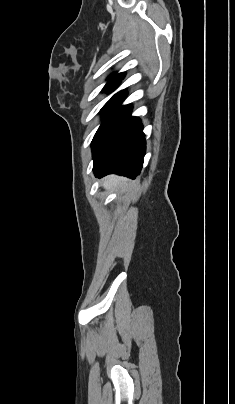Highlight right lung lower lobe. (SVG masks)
Instances as JSON below:
<instances>
[{"mask_svg":"<svg viewBox=\"0 0 235 404\" xmlns=\"http://www.w3.org/2000/svg\"><path fill=\"white\" fill-rule=\"evenodd\" d=\"M122 99L107 113L92 141L93 170L96 177L115 173L130 178L139 175L146 143L139 118L132 117V106H120Z\"/></svg>","mask_w":235,"mask_h":404,"instance_id":"obj_1","label":"right lung lower lobe"}]
</instances>
